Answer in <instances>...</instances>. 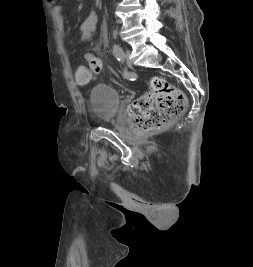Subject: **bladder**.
Wrapping results in <instances>:
<instances>
[{
  "label": "bladder",
  "instance_id": "obj_1",
  "mask_svg": "<svg viewBox=\"0 0 253 267\" xmlns=\"http://www.w3.org/2000/svg\"><path fill=\"white\" fill-rule=\"evenodd\" d=\"M120 95L112 86L104 83L93 86L88 96V109L92 118L98 123L110 122L116 116Z\"/></svg>",
  "mask_w": 253,
  "mask_h": 267
}]
</instances>
